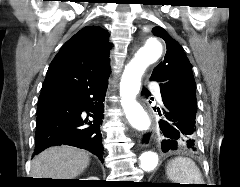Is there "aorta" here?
Wrapping results in <instances>:
<instances>
[{
    "instance_id": "aorta-1",
    "label": "aorta",
    "mask_w": 240,
    "mask_h": 187,
    "mask_svg": "<svg viewBox=\"0 0 240 187\" xmlns=\"http://www.w3.org/2000/svg\"><path fill=\"white\" fill-rule=\"evenodd\" d=\"M161 41L156 37H149L136 53L135 57L125 67L121 82V104L129 123L137 130H148L150 120L144 109L136 102V96L141 86V77L146 68L156 62L162 55ZM140 168L149 172L154 170L159 162L155 151H145L140 157Z\"/></svg>"
}]
</instances>
